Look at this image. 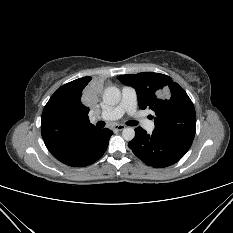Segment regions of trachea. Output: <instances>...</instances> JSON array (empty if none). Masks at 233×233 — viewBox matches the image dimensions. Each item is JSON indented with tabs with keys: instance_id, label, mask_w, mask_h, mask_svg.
Returning <instances> with one entry per match:
<instances>
[{
	"instance_id": "3493384b",
	"label": "trachea",
	"mask_w": 233,
	"mask_h": 233,
	"mask_svg": "<svg viewBox=\"0 0 233 233\" xmlns=\"http://www.w3.org/2000/svg\"><path fill=\"white\" fill-rule=\"evenodd\" d=\"M137 124H138V122H137V121H134V120L128 121V122H127V125H129V126H136ZM97 126L100 127V128H102V127L105 126V122L99 121V122L97 123Z\"/></svg>"
}]
</instances>
